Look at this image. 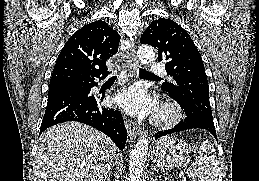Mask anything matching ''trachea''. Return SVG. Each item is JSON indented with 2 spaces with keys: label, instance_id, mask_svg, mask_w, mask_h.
<instances>
[{
  "label": "trachea",
  "instance_id": "3493384b",
  "mask_svg": "<svg viewBox=\"0 0 259 181\" xmlns=\"http://www.w3.org/2000/svg\"><path fill=\"white\" fill-rule=\"evenodd\" d=\"M139 75L140 76H154V77H158V76H156V75H154V74H152V73H150L148 71H145L143 69H139ZM111 78H116V76H112Z\"/></svg>",
  "mask_w": 259,
  "mask_h": 181
}]
</instances>
